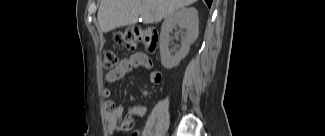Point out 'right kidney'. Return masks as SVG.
Returning <instances> with one entry per match:
<instances>
[{
    "instance_id": "obj_1",
    "label": "right kidney",
    "mask_w": 325,
    "mask_h": 136,
    "mask_svg": "<svg viewBox=\"0 0 325 136\" xmlns=\"http://www.w3.org/2000/svg\"><path fill=\"white\" fill-rule=\"evenodd\" d=\"M179 26L185 29V36L182 39L179 50L170 49V33L173 28ZM198 12L194 7L181 8L170 14L163 22L160 32V55L163 67L172 69L180 63L189 53L191 44L197 39L199 34Z\"/></svg>"
}]
</instances>
